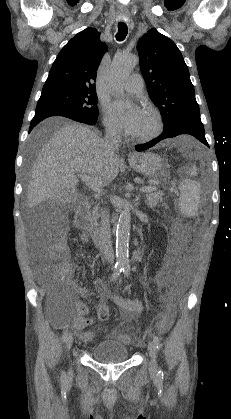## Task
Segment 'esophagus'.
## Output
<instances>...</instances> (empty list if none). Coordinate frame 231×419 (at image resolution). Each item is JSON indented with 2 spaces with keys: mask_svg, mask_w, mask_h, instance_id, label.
<instances>
[{
  "mask_svg": "<svg viewBox=\"0 0 231 419\" xmlns=\"http://www.w3.org/2000/svg\"><path fill=\"white\" fill-rule=\"evenodd\" d=\"M132 157H133V154H131V153H130V154H129V158H132Z\"/></svg>",
  "mask_w": 231,
  "mask_h": 419,
  "instance_id": "esophagus-1",
  "label": "esophagus"
}]
</instances>
